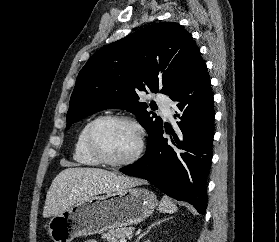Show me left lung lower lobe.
I'll list each match as a JSON object with an SVG mask.
<instances>
[{"label": "left lung lower lobe", "mask_w": 279, "mask_h": 242, "mask_svg": "<svg viewBox=\"0 0 279 242\" xmlns=\"http://www.w3.org/2000/svg\"><path fill=\"white\" fill-rule=\"evenodd\" d=\"M176 102L178 122L153 136L145 155L119 170L146 179L165 194L192 204L200 214L207 208V178L214 137L213 95L207 67L200 51L179 88L170 97Z\"/></svg>", "instance_id": "0a47b994"}]
</instances>
